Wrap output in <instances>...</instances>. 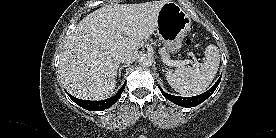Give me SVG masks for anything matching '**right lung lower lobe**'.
<instances>
[{
  "label": "right lung lower lobe",
  "mask_w": 276,
  "mask_h": 138,
  "mask_svg": "<svg viewBox=\"0 0 276 138\" xmlns=\"http://www.w3.org/2000/svg\"><path fill=\"white\" fill-rule=\"evenodd\" d=\"M125 85H126V83L121 87V89L115 96L110 97L106 100H102V101L82 100V99L73 97L69 93H67V94L76 104H78L79 106H81L84 109H87L89 111H102V110H105V109H108L109 107H111L120 98V96L125 88Z\"/></svg>",
  "instance_id": "obj_1"
}]
</instances>
